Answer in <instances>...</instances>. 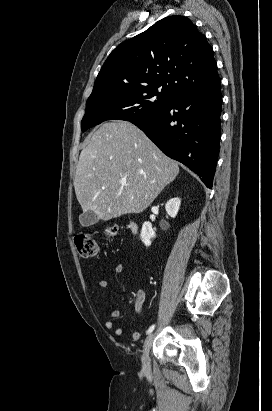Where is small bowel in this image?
Here are the masks:
<instances>
[{"instance_id": "obj_1", "label": "small bowel", "mask_w": 272, "mask_h": 411, "mask_svg": "<svg viewBox=\"0 0 272 411\" xmlns=\"http://www.w3.org/2000/svg\"><path fill=\"white\" fill-rule=\"evenodd\" d=\"M124 271H125V267L122 264H119L114 268L115 274H122ZM99 286L102 290H107L109 288V282L107 280H102L100 281ZM143 301H144L143 296H140L135 302L134 310L138 316H140L142 313ZM109 316L111 320H108L105 323L106 328L117 336L122 335L123 329L114 322V319H119L121 317V312L119 310H111L109 313ZM131 337L133 341H138L141 338V334L139 331H134L132 332Z\"/></svg>"}]
</instances>
